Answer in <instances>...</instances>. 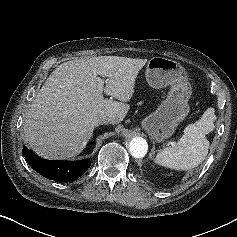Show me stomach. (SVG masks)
<instances>
[{
    "instance_id": "1",
    "label": "stomach",
    "mask_w": 237,
    "mask_h": 237,
    "mask_svg": "<svg viewBox=\"0 0 237 237\" xmlns=\"http://www.w3.org/2000/svg\"><path fill=\"white\" fill-rule=\"evenodd\" d=\"M146 80L155 89L170 86L167 98L157 110L142 120V127L151 139L162 142L175 132L190 112L188 101L192 88L180 63L164 58H151L146 67Z\"/></svg>"
}]
</instances>
